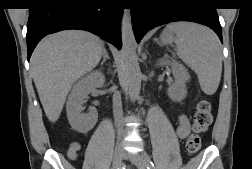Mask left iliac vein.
Segmentation results:
<instances>
[{
    "label": "left iliac vein",
    "instance_id": "obj_1",
    "mask_svg": "<svg viewBox=\"0 0 252 169\" xmlns=\"http://www.w3.org/2000/svg\"><path fill=\"white\" fill-rule=\"evenodd\" d=\"M133 162L138 169H147V164L145 163L144 159L141 156H136L133 159Z\"/></svg>",
    "mask_w": 252,
    "mask_h": 169
}]
</instances>
